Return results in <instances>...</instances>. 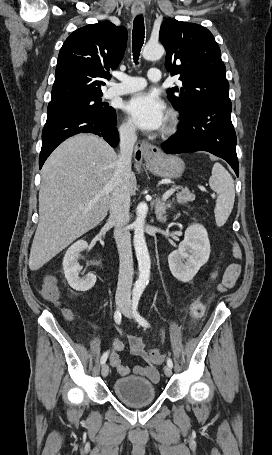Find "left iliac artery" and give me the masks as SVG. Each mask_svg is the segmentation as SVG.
<instances>
[{
	"mask_svg": "<svg viewBox=\"0 0 272 455\" xmlns=\"http://www.w3.org/2000/svg\"><path fill=\"white\" fill-rule=\"evenodd\" d=\"M139 299H140V294H135L133 296V300H132V309H133V315L136 319V321L143 327H149L150 324L147 322V320L145 318H143L137 311V307H138V302H139ZM167 365L170 366L171 368L173 367V362L171 360V358H168L167 359Z\"/></svg>",
	"mask_w": 272,
	"mask_h": 455,
	"instance_id": "left-iliac-artery-1",
	"label": "left iliac artery"
}]
</instances>
